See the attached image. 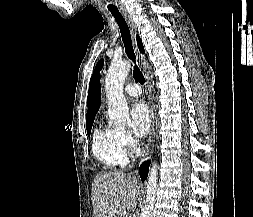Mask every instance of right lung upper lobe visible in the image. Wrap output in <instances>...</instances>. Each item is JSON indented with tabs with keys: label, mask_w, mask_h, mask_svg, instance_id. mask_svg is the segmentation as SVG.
<instances>
[{
	"label": "right lung upper lobe",
	"mask_w": 253,
	"mask_h": 217,
	"mask_svg": "<svg viewBox=\"0 0 253 217\" xmlns=\"http://www.w3.org/2000/svg\"><path fill=\"white\" fill-rule=\"evenodd\" d=\"M137 44L141 53H144L143 44L139 36H137ZM87 102H88V112L86 116V123L94 121L95 115L100 107L101 86L99 74L96 77L91 78Z\"/></svg>",
	"instance_id": "cb5924a9"
}]
</instances>
